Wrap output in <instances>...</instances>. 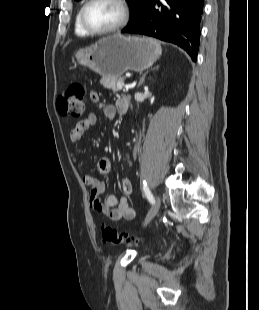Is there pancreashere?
<instances>
[{
    "label": "pancreas",
    "mask_w": 259,
    "mask_h": 310,
    "mask_svg": "<svg viewBox=\"0 0 259 310\" xmlns=\"http://www.w3.org/2000/svg\"><path fill=\"white\" fill-rule=\"evenodd\" d=\"M123 77H109L105 76L100 80V83L107 89L112 90L113 92H117L118 89L116 87V83L123 82Z\"/></svg>",
    "instance_id": "pancreas-1"
}]
</instances>
